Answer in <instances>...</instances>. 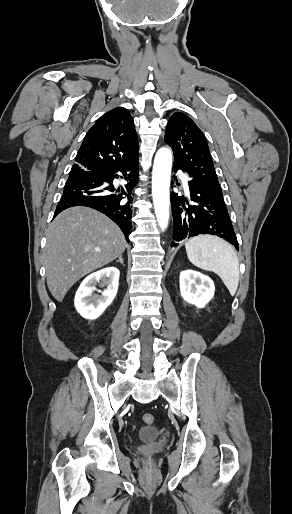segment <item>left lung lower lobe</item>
I'll return each mask as SVG.
<instances>
[{"instance_id":"0a47b994","label":"left lung lower lobe","mask_w":292,"mask_h":514,"mask_svg":"<svg viewBox=\"0 0 292 514\" xmlns=\"http://www.w3.org/2000/svg\"><path fill=\"white\" fill-rule=\"evenodd\" d=\"M180 169L174 165L173 170ZM190 189L189 201L177 193L171 194L173 215V239L176 242L199 234L217 235L234 245L238 250V241L234 232L222 191L211 190L188 182ZM187 203V205L185 204ZM190 203V204H189Z\"/></svg>"}]
</instances>
